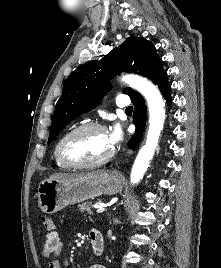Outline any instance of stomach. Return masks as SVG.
I'll return each mask as SVG.
<instances>
[{
    "label": "stomach",
    "mask_w": 221,
    "mask_h": 268,
    "mask_svg": "<svg viewBox=\"0 0 221 268\" xmlns=\"http://www.w3.org/2000/svg\"><path fill=\"white\" fill-rule=\"evenodd\" d=\"M123 188V177L113 171L76 180H50L39 183L37 189L38 207L42 212L53 214L68 205L94 199L103 194L112 195Z\"/></svg>",
    "instance_id": "0dacf381"
}]
</instances>
